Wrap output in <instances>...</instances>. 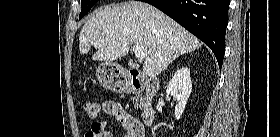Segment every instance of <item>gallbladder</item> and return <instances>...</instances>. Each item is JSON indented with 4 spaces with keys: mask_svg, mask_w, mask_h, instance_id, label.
I'll return each instance as SVG.
<instances>
[{
    "mask_svg": "<svg viewBox=\"0 0 280 137\" xmlns=\"http://www.w3.org/2000/svg\"><path fill=\"white\" fill-rule=\"evenodd\" d=\"M129 66H130L131 68L137 67V65H136V64H133L132 62H129Z\"/></svg>",
    "mask_w": 280,
    "mask_h": 137,
    "instance_id": "obj_1",
    "label": "gallbladder"
}]
</instances>
